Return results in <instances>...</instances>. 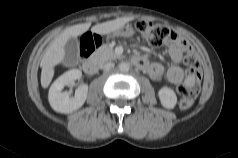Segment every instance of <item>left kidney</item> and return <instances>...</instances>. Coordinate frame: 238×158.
<instances>
[{"mask_svg":"<svg viewBox=\"0 0 238 158\" xmlns=\"http://www.w3.org/2000/svg\"><path fill=\"white\" fill-rule=\"evenodd\" d=\"M158 96L163 107L167 109H173L175 107L177 96L172 89L162 87L158 92Z\"/></svg>","mask_w":238,"mask_h":158,"instance_id":"5707ae66","label":"left kidney"}]
</instances>
